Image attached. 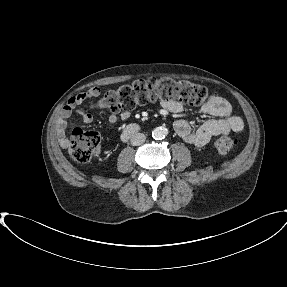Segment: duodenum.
<instances>
[{"instance_id": "duodenum-1", "label": "duodenum", "mask_w": 287, "mask_h": 287, "mask_svg": "<svg viewBox=\"0 0 287 287\" xmlns=\"http://www.w3.org/2000/svg\"><path fill=\"white\" fill-rule=\"evenodd\" d=\"M138 131V125L131 123L125 127L122 132V139L126 140Z\"/></svg>"}]
</instances>
